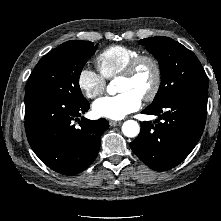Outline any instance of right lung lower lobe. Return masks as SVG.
Here are the masks:
<instances>
[{"instance_id":"1","label":"right lung lower lobe","mask_w":221,"mask_h":221,"mask_svg":"<svg viewBox=\"0 0 221 221\" xmlns=\"http://www.w3.org/2000/svg\"><path fill=\"white\" fill-rule=\"evenodd\" d=\"M89 109L86 100L73 104L61 98L25 93V129L28 142L50 169L75 175L85 170L98 155L101 135L109 128L108 121L82 117ZM73 120L80 124L75 126Z\"/></svg>"}]
</instances>
